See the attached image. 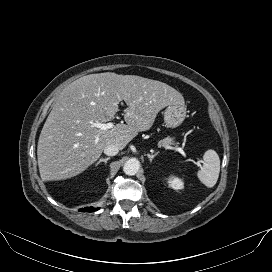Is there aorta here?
<instances>
[{
  "label": "aorta",
  "mask_w": 272,
  "mask_h": 272,
  "mask_svg": "<svg viewBox=\"0 0 272 272\" xmlns=\"http://www.w3.org/2000/svg\"><path fill=\"white\" fill-rule=\"evenodd\" d=\"M140 168V162L136 158H130L128 159L124 166H123V171L126 175H135L139 171Z\"/></svg>",
  "instance_id": "obj_1"
}]
</instances>
